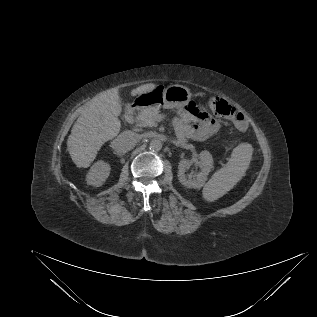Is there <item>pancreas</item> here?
I'll use <instances>...</instances> for the list:
<instances>
[{"label":"pancreas","instance_id":"1","mask_svg":"<svg viewBox=\"0 0 317 317\" xmlns=\"http://www.w3.org/2000/svg\"><path fill=\"white\" fill-rule=\"evenodd\" d=\"M158 107H147L141 110L136 118L137 125L140 127H155L157 125Z\"/></svg>","mask_w":317,"mask_h":317}]
</instances>
